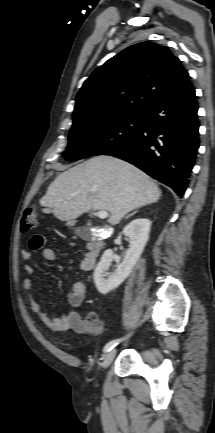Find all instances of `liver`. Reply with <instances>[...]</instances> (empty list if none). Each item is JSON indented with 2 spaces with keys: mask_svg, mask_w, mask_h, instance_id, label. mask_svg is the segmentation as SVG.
<instances>
[{
  "mask_svg": "<svg viewBox=\"0 0 215 433\" xmlns=\"http://www.w3.org/2000/svg\"><path fill=\"white\" fill-rule=\"evenodd\" d=\"M161 190L143 171L116 157L100 155L62 172L40 200L61 221L90 210L108 211L116 225L134 209L159 200Z\"/></svg>",
  "mask_w": 215,
  "mask_h": 433,
  "instance_id": "6515ba94",
  "label": "liver"
}]
</instances>
